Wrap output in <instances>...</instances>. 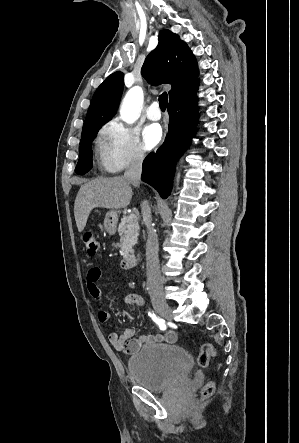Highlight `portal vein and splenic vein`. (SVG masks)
<instances>
[{
	"instance_id": "1",
	"label": "portal vein and splenic vein",
	"mask_w": 299,
	"mask_h": 443,
	"mask_svg": "<svg viewBox=\"0 0 299 443\" xmlns=\"http://www.w3.org/2000/svg\"><path fill=\"white\" fill-rule=\"evenodd\" d=\"M137 216L135 215V214H131L129 217H128V219L129 220H133V219H135Z\"/></svg>"
}]
</instances>
